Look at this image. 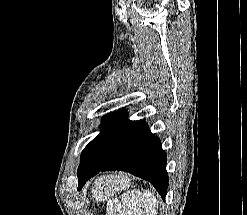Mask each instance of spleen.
<instances>
[{
    "label": "spleen",
    "instance_id": "spleen-1",
    "mask_svg": "<svg viewBox=\"0 0 247 215\" xmlns=\"http://www.w3.org/2000/svg\"><path fill=\"white\" fill-rule=\"evenodd\" d=\"M158 200L153 192L128 190L122 194L121 201L112 198L107 204L108 215H156Z\"/></svg>",
    "mask_w": 247,
    "mask_h": 215
}]
</instances>
